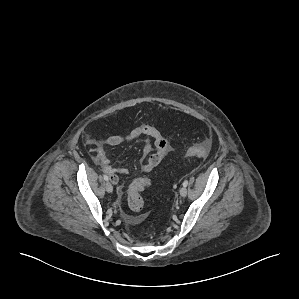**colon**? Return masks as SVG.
<instances>
[{
    "mask_svg": "<svg viewBox=\"0 0 299 299\" xmlns=\"http://www.w3.org/2000/svg\"><path fill=\"white\" fill-rule=\"evenodd\" d=\"M210 144L202 143L191 146L185 153L186 158H204L210 152ZM151 184V180L146 177H140L132 181L128 189V204L133 211H139L143 207V198L141 192ZM144 220V216H140L137 222Z\"/></svg>",
    "mask_w": 299,
    "mask_h": 299,
    "instance_id": "1",
    "label": "colon"
}]
</instances>
